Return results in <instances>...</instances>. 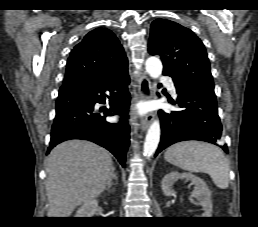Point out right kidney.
I'll return each mask as SVG.
<instances>
[{
  "label": "right kidney",
  "instance_id": "1",
  "mask_svg": "<svg viewBox=\"0 0 258 227\" xmlns=\"http://www.w3.org/2000/svg\"><path fill=\"white\" fill-rule=\"evenodd\" d=\"M97 209L98 202L96 200H89L77 210L75 217H94Z\"/></svg>",
  "mask_w": 258,
  "mask_h": 227
}]
</instances>
